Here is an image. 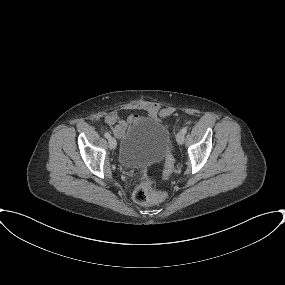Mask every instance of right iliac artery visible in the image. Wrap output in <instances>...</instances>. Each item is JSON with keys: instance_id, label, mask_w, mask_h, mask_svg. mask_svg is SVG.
Returning a JSON list of instances; mask_svg holds the SVG:
<instances>
[{"instance_id": "obj_1", "label": "right iliac artery", "mask_w": 285, "mask_h": 285, "mask_svg": "<svg viewBox=\"0 0 285 285\" xmlns=\"http://www.w3.org/2000/svg\"><path fill=\"white\" fill-rule=\"evenodd\" d=\"M104 136H105L107 139H109V138L111 137V135H110L108 132H106V133L104 134Z\"/></svg>"}]
</instances>
